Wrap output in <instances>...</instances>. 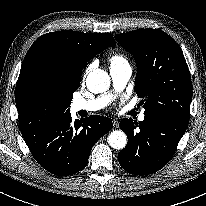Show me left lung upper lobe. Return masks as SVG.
Wrapping results in <instances>:
<instances>
[{
    "instance_id": "1",
    "label": "left lung upper lobe",
    "mask_w": 206,
    "mask_h": 206,
    "mask_svg": "<svg viewBox=\"0 0 206 206\" xmlns=\"http://www.w3.org/2000/svg\"><path fill=\"white\" fill-rule=\"evenodd\" d=\"M115 38L136 61L135 92L143 99L144 114L189 120L192 84L179 45L158 29H138Z\"/></svg>"
}]
</instances>
